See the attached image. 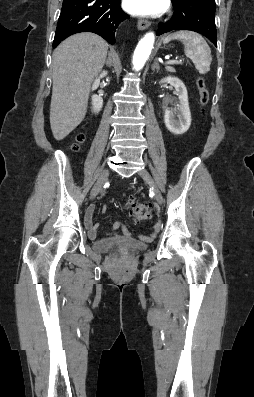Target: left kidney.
<instances>
[{
    "label": "left kidney",
    "mask_w": 254,
    "mask_h": 397,
    "mask_svg": "<svg viewBox=\"0 0 254 397\" xmlns=\"http://www.w3.org/2000/svg\"><path fill=\"white\" fill-rule=\"evenodd\" d=\"M160 83L172 85L179 98L177 110L167 108L165 110L164 121L167 129L174 135H182L190 128L191 112L188 103V93L184 83L177 77H165ZM177 115L178 119L175 118Z\"/></svg>",
    "instance_id": "obj_1"
}]
</instances>
